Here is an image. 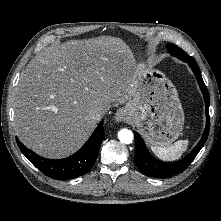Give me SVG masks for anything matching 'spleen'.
<instances>
[{
    "instance_id": "3e777b00",
    "label": "spleen",
    "mask_w": 221,
    "mask_h": 221,
    "mask_svg": "<svg viewBox=\"0 0 221 221\" xmlns=\"http://www.w3.org/2000/svg\"><path fill=\"white\" fill-rule=\"evenodd\" d=\"M188 140H178L168 146H152V152L164 161L176 160L187 150Z\"/></svg>"
}]
</instances>
